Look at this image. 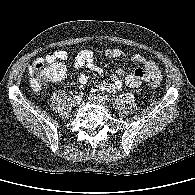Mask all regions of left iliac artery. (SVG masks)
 <instances>
[{"label": "left iliac artery", "mask_w": 195, "mask_h": 195, "mask_svg": "<svg viewBox=\"0 0 195 195\" xmlns=\"http://www.w3.org/2000/svg\"><path fill=\"white\" fill-rule=\"evenodd\" d=\"M103 98H104L105 101H108L109 100L107 96L106 97H103Z\"/></svg>", "instance_id": "44dca946"}]
</instances>
